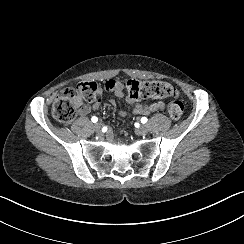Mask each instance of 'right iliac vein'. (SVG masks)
Returning a JSON list of instances; mask_svg holds the SVG:
<instances>
[{"label": "right iliac vein", "instance_id": "63e3f726", "mask_svg": "<svg viewBox=\"0 0 244 244\" xmlns=\"http://www.w3.org/2000/svg\"><path fill=\"white\" fill-rule=\"evenodd\" d=\"M101 127H102L101 122H97L94 124V129L97 133L101 132Z\"/></svg>", "mask_w": 244, "mask_h": 244}]
</instances>
